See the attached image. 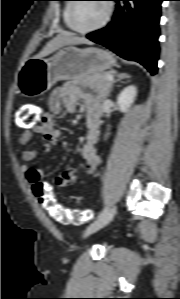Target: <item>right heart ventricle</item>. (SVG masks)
Listing matches in <instances>:
<instances>
[{
    "mask_svg": "<svg viewBox=\"0 0 180 299\" xmlns=\"http://www.w3.org/2000/svg\"><path fill=\"white\" fill-rule=\"evenodd\" d=\"M71 1L72 0H67V3L65 4L64 8H63V21L66 25L67 28L72 29L70 26V22H69V12H70V8H71Z\"/></svg>",
    "mask_w": 180,
    "mask_h": 299,
    "instance_id": "1",
    "label": "right heart ventricle"
}]
</instances>
